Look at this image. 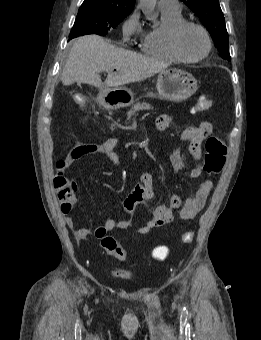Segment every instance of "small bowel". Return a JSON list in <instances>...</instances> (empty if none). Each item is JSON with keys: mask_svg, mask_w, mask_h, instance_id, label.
<instances>
[{"mask_svg": "<svg viewBox=\"0 0 261 340\" xmlns=\"http://www.w3.org/2000/svg\"><path fill=\"white\" fill-rule=\"evenodd\" d=\"M171 124V118L167 115H161L156 120V127L159 131H165ZM212 124L209 121H203L198 126L186 128L180 135V139L188 143V150L192 157L193 168L190 171L191 178H198L202 173L201 163V143L211 134ZM118 143L117 138H109L101 143H85L73 147L65 157L64 170H67L74 162L81 158L92 155H103L107 157L113 164L120 162L119 155L115 152V146ZM170 162L175 170H182L186 167V163L180 153L178 147L174 146L170 150ZM105 174H109L105 172ZM213 188L210 180H204L198 187L196 193L187 198L185 202L174 194L170 198L168 206L158 205L149 206L148 209L152 218L143 226L138 228L139 234H147L154 228L160 227L174 219L173 210H179V216L183 220L193 219L204 207L206 200ZM155 197L153 190V176L149 172H144L140 176V182L128 194L124 200V206L128 211H133L139 205H148ZM67 226L73 230L77 241L86 240L92 233L88 228H75L74 220L71 217H66ZM130 224L127 220L116 221L108 219L105 223L94 231V236L97 239H102L106 234L113 230H125Z\"/></svg>", "mask_w": 261, "mask_h": 340, "instance_id": "1", "label": "small bowel"}]
</instances>
